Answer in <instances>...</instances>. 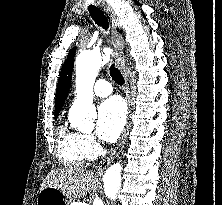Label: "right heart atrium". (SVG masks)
Wrapping results in <instances>:
<instances>
[{
    "instance_id": "1",
    "label": "right heart atrium",
    "mask_w": 222,
    "mask_h": 205,
    "mask_svg": "<svg viewBox=\"0 0 222 205\" xmlns=\"http://www.w3.org/2000/svg\"><path fill=\"white\" fill-rule=\"evenodd\" d=\"M82 138H83L84 149L88 157L89 158L95 157L98 154L99 145L94 136L91 134H83Z\"/></svg>"
}]
</instances>
